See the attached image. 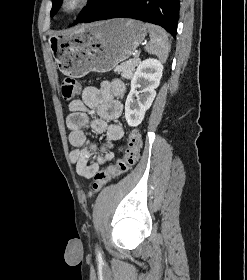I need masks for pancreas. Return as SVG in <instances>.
<instances>
[{
  "instance_id": "cf45deb5",
  "label": "pancreas",
  "mask_w": 247,
  "mask_h": 280,
  "mask_svg": "<svg viewBox=\"0 0 247 280\" xmlns=\"http://www.w3.org/2000/svg\"><path fill=\"white\" fill-rule=\"evenodd\" d=\"M139 59H132L125 63L120 64L115 68V72L120 73L121 77L124 79H131L133 77V72L135 67L139 64Z\"/></svg>"
}]
</instances>
